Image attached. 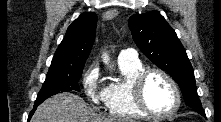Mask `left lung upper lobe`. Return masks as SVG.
Masks as SVG:
<instances>
[{
  "label": "left lung upper lobe",
  "mask_w": 221,
  "mask_h": 122,
  "mask_svg": "<svg viewBox=\"0 0 221 122\" xmlns=\"http://www.w3.org/2000/svg\"><path fill=\"white\" fill-rule=\"evenodd\" d=\"M129 27L143 54L178 83L186 105L198 112L203 111L191 63L164 17L158 11L135 14L129 19Z\"/></svg>",
  "instance_id": "left-lung-upper-lobe-1"
}]
</instances>
